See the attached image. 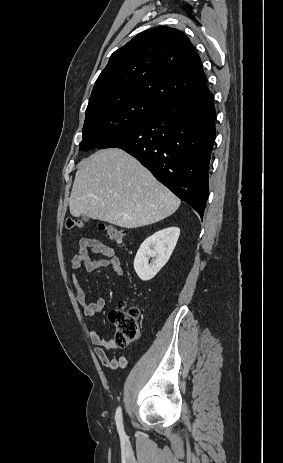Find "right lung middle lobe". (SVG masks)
<instances>
[{
  "label": "right lung middle lobe",
  "instance_id": "right-lung-middle-lobe-1",
  "mask_svg": "<svg viewBox=\"0 0 283 463\" xmlns=\"http://www.w3.org/2000/svg\"><path fill=\"white\" fill-rule=\"evenodd\" d=\"M160 106L125 91L109 92L89 100L80 150L101 146L124 130L145 120Z\"/></svg>",
  "mask_w": 283,
  "mask_h": 463
}]
</instances>
